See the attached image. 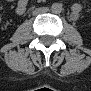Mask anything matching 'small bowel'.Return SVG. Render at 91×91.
Returning a JSON list of instances; mask_svg holds the SVG:
<instances>
[{"label": "small bowel", "mask_w": 91, "mask_h": 91, "mask_svg": "<svg viewBox=\"0 0 91 91\" xmlns=\"http://www.w3.org/2000/svg\"><path fill=\"white\" fill-rule=\"evenodd\" d=\"M26 8H27V1L26 0H19L16 5L17 13H19V14L24 13ZM74 14H76V12H74Z\"/></svg>", "instance_id": "c3829d8e"}]
</instances>
